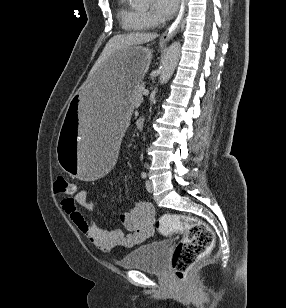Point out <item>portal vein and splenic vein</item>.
I'll return each instance as SVG.
<instances>
[{
	"label": "portal vein and splenic vein",
	"mask_w": 286,
	"mask_h": 308,
	"mask_svg": "<svg viewBox=\"0 0 286 308\" xmlns=\"http://www.w3.org/2000/svg\"><path fill=\"white\" fill-rule=\"evenodd\" d=\"M143 94H144V95H148V94H149V91L146 90V89H144V90H143Z\"/></svg>",
	"instance_id": "1"
}]
</instances>
